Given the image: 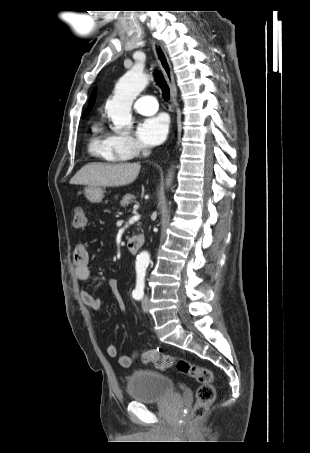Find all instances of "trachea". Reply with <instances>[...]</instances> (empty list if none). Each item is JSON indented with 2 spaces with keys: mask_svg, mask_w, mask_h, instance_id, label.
I'll return each instance as SVG.
<instances>
[{
  "mask_svg": "<svg viewBox=\"0 0 310 453\" xmlns=\"http://www.w3.org/2000/svg\"><path fill=\"white\" fill-rule=\"evenodd\" d=\"M154 76H155V80H156L157 84L162 88V96H163V98L166 101H168L169 98H170L169 86L166 84L164 78L158 72H155Z\"/></svg>",
  "mask_w": 310,
  "mask_h": 453,
  "instance_id": "trachea-1",
  "label": "trachea"
}]
</instances>
